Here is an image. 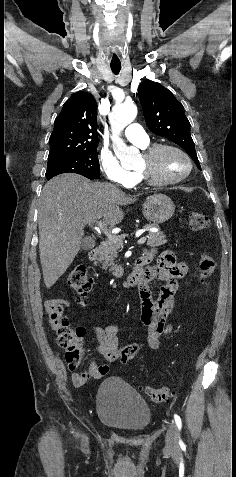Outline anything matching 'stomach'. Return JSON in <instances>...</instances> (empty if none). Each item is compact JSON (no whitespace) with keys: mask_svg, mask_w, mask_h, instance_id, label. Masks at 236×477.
<instances>
[{"mask_svg":"<svg viewBox=\"0 0 236 477\" xmlns=\"http://www.w3.org/2000/svg\"><path fill=\"white\" fill-rule=\"evenodd\" d=\"M143 215L155 224L169 220L175 211L173 201L164 194H154L142 205Z\"/></svg>","mask_w":236,"mask_h":477,"instance_id":"0dacf381","label":"stomach"}]
</instances>
